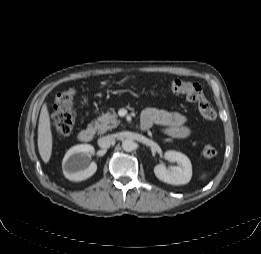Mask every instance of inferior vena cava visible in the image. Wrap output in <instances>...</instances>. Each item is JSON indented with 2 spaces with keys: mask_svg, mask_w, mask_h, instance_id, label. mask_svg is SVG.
<instances>
[{
  "mask_svg": "<svg viewBox=\"0 0 261 254\" xmlns=\"http://www.w3.org/2000/svg\"><path fill=\"white\" fill-rule=\"evenodd\" d=\"M115 141V135H107L98 139V145L101 148H109Z\"/></svg>",
  "mask_w": 261,
  "mask_h": 254,
  "instance_id": "1",
  "label": "inferior vena cava"
}]
</instances>
